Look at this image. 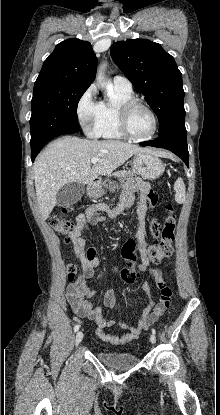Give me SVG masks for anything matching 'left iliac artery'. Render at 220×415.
Wrapping results in <instances>:
<instances>
[{
    "instance_id": "obj_1",
    "label": "left iliac artery",
    "mask_w": 220,
    "mask_h": 415,
    "mask_svg": "<svg viewBox=\"0 0 220 415\" xmlns=\"http://www.w3.org/2000/svg\"><path fill=\"white\" fill-rule=\"evenodd\" d=\"M152 333L155 335L156 334V331H155V329H152Z\"/></svg>"
}]
</instances>
